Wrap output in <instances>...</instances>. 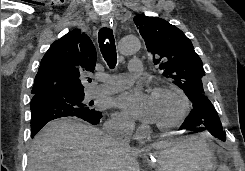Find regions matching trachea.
Returning a JSON list of instances; mask_svg holds the SVG:
<instances>
[{
  "label": "trachea",
  "instance_id": "obj_1",
  "mask_svg": "<svg viewBox=\"0 0 245 171\" xmlns=\"http://www.w3.org/2000/svg\"><path fill=\"white\" fill-rule=\"evenodd\" d=\"M100 51L110 68H114L117 63V53L113 31L110 28H102L98 33Z\"/></svg>",
  "mask_w": 245,
  "mask_h": 171
}]
</instances>
